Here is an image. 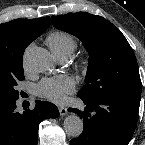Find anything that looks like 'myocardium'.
I'll return each mask as SVG.
<instances>
[{"label":"myocardium","mask_w":145,"mask_h":145,"mask_svg":"<svg viewBox=\"0 0 145 145\" xmlns=\"http://www.w3.org/2000/svg\"><path fill=\"white\" fill-rule=\"evenodd\" d=\"M85 65H86L85 58H84V57H82V58H81V62H80V67L84 68V67H85Z\"/></svg>","instance_id":"f54148a6"}]
</instances>
